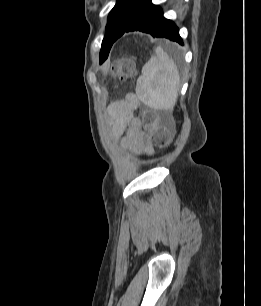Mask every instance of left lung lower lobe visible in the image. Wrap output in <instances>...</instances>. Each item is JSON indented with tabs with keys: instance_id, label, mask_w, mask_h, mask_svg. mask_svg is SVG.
Masks as SVG:
<instances>
[{
	"instance_id": "1",
	"label": "left lung lower lobe",
	"mask_w": 261,
	"mask_h": 306,
	"mask_svg": "<svg viewBox=\"0 0 261 306\" xmlns=\"http://www.w3.org/2000/svg\"><path fill=\"white\" fill-rule=\"evenodd\" d=\"M130 31H142L151 34L153 37H165L183 45L176 25L164 18L161 8L153 5L151 0H146L121 36Z\"/></svg>"
}]
</instances>
